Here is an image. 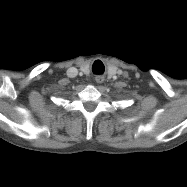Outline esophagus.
<instances>
[{
    "label": "esophagus",
    "mask_w": 187,
    "mask_h": 187,
    "mask_svg": "<svg viewBox=\"0 0 187 187\" xmlns=\"http://www.w3.org/2000/svg\"><path fill=\"white\" fill-rule=\"evenodd\" d=\"M104 81L103 77L102 76H97L96 77V82L97 83H102Z\"/></svg>",
    "instance_id": "34e87169"
}]
</instances>
